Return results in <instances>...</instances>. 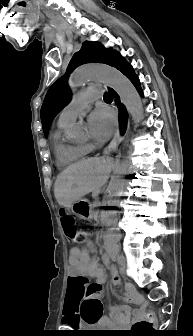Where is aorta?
<instances>
[{
    "mask_svg": "<svg viewBox=\"0 0 193 336\" xmlns=\"http://www.w3.org/2000/svg\"><path fill=\"white\" fill-rule=\"evenodd\" d=\"M100 80L110 85L120 96V99L131 114L133 120L139 123L143 120V105L133 84L117 69L108 65H83L74 70L69 79L71 88H77L88 81ZM83 128L75 124L69 131L70 138L78 140L83 136ZM128 163L122 162L115 169V174L109 184V206L119 205V197L123 194L124 180Z\"/></svg>",
    "mask_w": 193,
    "mask_h": 336,
    "instance_id": "1",
    "label": "aorta"
}]
</instances>
